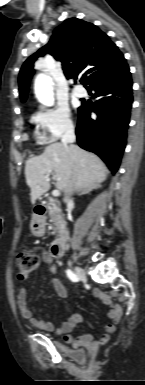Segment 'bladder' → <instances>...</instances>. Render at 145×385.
Listing matches in <instances>:
<instances>
[{
  "label": "bladder",
  "mask_w": 145,
  "mask_h": 385,
  "mask_svg": "<svg viewBox=\"0 0 145 385\" xmlns=\"http://www.w3.org/2000/svg\"><path fill=\"white\" fill-rule=\"evenodd\" d=\"M76 353H78L79 355L85 356V352L82 350H77Z\"/></svg>",
  "instance_id": "31cf9c89"
}]
</instances>
